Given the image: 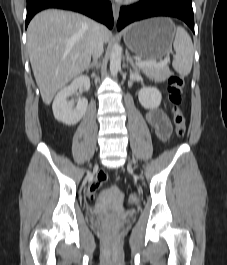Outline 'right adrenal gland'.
<instances>
[{"label": "right adrenal gland", "mask_w": 227, "mask_h": 265, "mask_svg": "<svg viewBox=\"0 0 227 265\" xmlns=\"http://www.w3.org/2000/svg\"><path fill=\"white\" fill-rule=\"evenodd\" d=\"M98 65V61L97 59H95L91 64H89V66L86 68V71L88 72L89 69H92L94 67H96Z\"/></svg>", "instance_id": "1"}]
</instances>
